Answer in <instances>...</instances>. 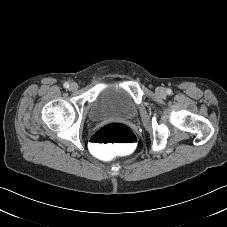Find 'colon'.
I'll use <instances>...</instances> for the list:
<instances>
[{
    "mask_svg": "<svg viewBox=\"0 0 227 227\" xmlns=\"http://www.w3.org/2000/svg\"><path fill=\"white\" fill-rule=\"evenodd\" d=\"M136 142L133 131L121 123H111L101 127L90 139L93 152L100 157L128 153L135 148Z\"/></svg>",
    "mask_w": 227,
    "mask_h": 227,
    "instance_id": "5ec220e1",
    "label": "colon"
}]
</instances>
